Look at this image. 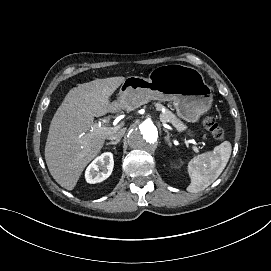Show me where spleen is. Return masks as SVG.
<instances>
[{
  "instance_id": "spleen-1",
  "label": "spleen",
  "mask_w": 271,
  "mask_h": 271,
  "mask_svg": "<svg viewBox=\"0 0 271 271\" xmlns=\"http://www.w3.org/2000/svg\"><path fill=\"white\" fill-rule=\"evenodd\" d=\"M232 151L229 141H224L214 148L213 153L194 157L188 164L191 184L187 191L197 193L212 184L226 167Z\"/></svg>"
}]
</instances>
